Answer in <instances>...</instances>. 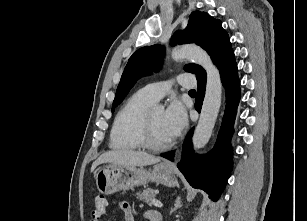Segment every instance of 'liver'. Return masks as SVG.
<instances>
[{"label":"liver","instance_id":"6515ba94","mask_svg":"<svg viewBox=\"0 0 307 221\" xmlns=\"http://www.w3.org/2000/svg\"><path fill=\"white\" fill-rule=\"evenodd\" d=\"M161 161V158L155 157L151 154L142 151L134 150H113L103 153L99 158L93 162L91 172L103 163H113L122 166H146L156 164Z\"/></svg>","mask_w":307,"mask_h":221}]
</instances>
